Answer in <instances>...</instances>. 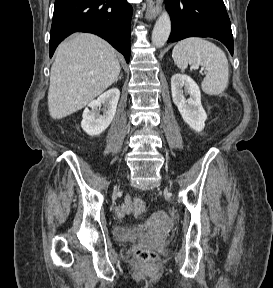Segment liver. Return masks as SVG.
<instances>
[{
	"label": "liver",
	"instance_id": "liver-1",
	"mask_svg": "<svg viewBox=\"0 0 273 288\" xmlns=\"http://www.w3.org/2000/svg\"><path fill=\"white\" fill-rule=\"evenodd\" d=\"M115 49L100 37L77 33L61 43L51 67L48 107L53 119L67 117L92 102L118 79Z\"/></svg>",
	"mask_w": 273,
	"mask_h": 288
}]
</instances>
